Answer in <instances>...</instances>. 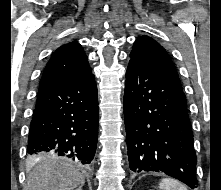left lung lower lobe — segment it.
Instances as JSON below:
<instances>
[{
  "instance_id": "obj_1",
  "label": "left lung lower lobe",
  "mask_w": 221,
  "mask_h": 190,
  "mask_svg": "<svg viewBox=\"0 0 221 190\" xmlns=\"http://www.w3.org/2000/svg\"><path fill=\"white\" fill-rule=\"evenodd\" d=\"M124 121L132 171L163 172L196 188L197 158L181 86L150 66L130 60Z\"/></svg>"
}]
</instances>
